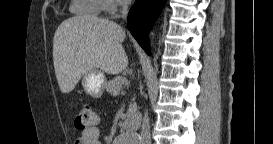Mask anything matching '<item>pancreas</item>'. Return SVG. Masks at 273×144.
Wrapping results in <instances>:
<instances>
[{
	"label": "pancreas",
	"mask_w": 273,
	"mask_h": 144,
	"mask_svg": "<svg viewBox=\"0 0 273 144\" xmlns=\"http://www.w3.org/2000/svg\"><path fill=\"white\" fill-rule=\"evenodd\" d=\"M128 82L124 77L117 76L114 79L110 80L108 83H106V90L108 93H110L112 96H117L119 92L122 90L123 85H127ZM136 110L135 103L130 104L128 115L133 114V112Z\"/></svg>",
	"instance_id": "obj_1"
}]
</instances>
